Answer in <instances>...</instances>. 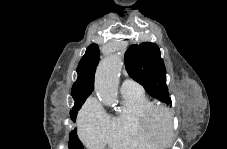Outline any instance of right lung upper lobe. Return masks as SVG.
I'll return each mask as SVG.
<instances>
[{
    "label": "right lung upper lobe",
    "instance_id": "right-lung-upper-lobe-1",
    "mask_svg": "<svg viewBox=\"0 0 227 149\" xmlns=\"http://www.w3.org/2000/svg\"><path fill=\"white\" fill-rule=\"evenodd\" d=\"M99 54L100 51L98 45L91 44L78 64V78L73 84L71 91V95L75 101L73 109L78 108L82 103H84L86 98L94 90V75L100 60Z\"/></svg>",
    "mask_w": 227,
    "mask_h": 149
}]
</instances>
